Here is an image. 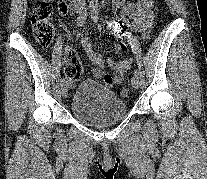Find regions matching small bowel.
Listing matches in <instances>:
<instances>
[{"mask_svg": "<svg viewBox=\"0 0 207 179\" xmlns=\"http://www.w3.org/2000/svg\"><path fill=\"white\" fill-rule=\"evenodd\" d=\"M114 1L121 14V19L115 23V27L119 30L125 29L127 27V19L130 18L133 28L142 34L143 39L147 38L154 20L153 0H141L135 7L127 3V0ZM57 5L61 14L65 15L68 13V7L63 1H57ZM81 42L83 49L94 64L92 69L94 78L103 80L107 89H112L114 85L122 83L124 74L132 64V58L108 59V65L112 70V74H107L103 70L104 59L95 51L89 36L84 35ZM115 48L120 53L123 50V45L117 43ZM70 86L73 87V84H70Z\"/></svg>", "mask_w": 207, "mask_h": 179, "instance_id": "small-bowel-1", "label": "small bowel"}]
</instances>
